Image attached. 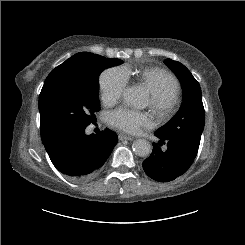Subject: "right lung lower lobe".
<instances>
[{"label": "right lung lower lobe", "instance_id": "right-lung-lower-lobe-1", "mask_svg": "<svg viewBox=\"0 0 245 245\" xmlns=\"http://www.w3.org/2000/svg\"><path fill=\"white\" fill-rule=\"evenodd\" d=\"M117 135L105 129L85 134V128L62 132L43 142L53 165L77 181L94 178L117 144Z\"/></svg>", "mask_w": 245, "mask_h": 245}]
</instances>
